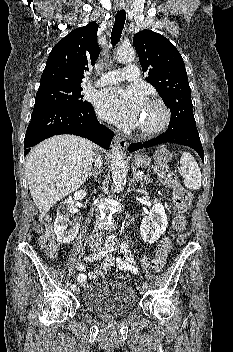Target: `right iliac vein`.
I'll return each mask as SVG.
<instances>
[{
    "label": "right iliac vein",
    "mask_w": 233,
    "mask_h": 352,
    "mask_svg": "<svg viewBox=\"0 0 233 352\" xmlns=\"http://www.w3.org/2000/svg\"><path fill=\"white\" fill-rule=\"evenodd\" d=\"M74 291L76 294H78L80 292L79 288H76Z\"/></svg>",
    "instance_id": "obj_1"
}]
</instances>
